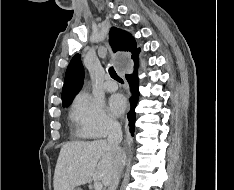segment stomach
Listing matches in <instances>:
<instances>
[{
    "mask_svg": "<svg viewBox=\"0 0 234 190\" xmlns=\"http://www.w3.org/2000/svg\"><path fill=\"white\" fill-rule=\"evenodd\" d=\"M73 190H82V189L77 187V188H74Z\"/></svg>",
    "mask_w": 234,
    "mask_h": 190,
    "instance_id": "1",
    "label": "stomach"
}]
</instances>
